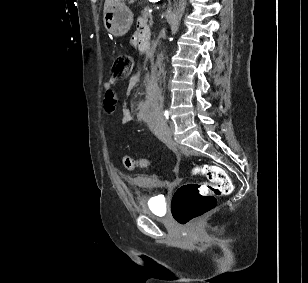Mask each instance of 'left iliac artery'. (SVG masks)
<instances>
[{
  "label": "left iliac artery",
  "mask_w": 308,
  "mask_h": 283,
  "mask_svg": "<svg viewBox=\"0 0 308 283\" xmlns=\"http://www.w3.org/2000/svg\"><path fill=\"white\" fill-rule=\"evenodd\" d=\"M168 115H169L168 111H165L164 114H163L165 121L168 120Z\"/></svg>",
  "instance_id": "obj_1"
}]
</instances>
